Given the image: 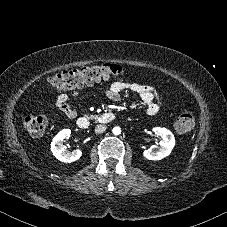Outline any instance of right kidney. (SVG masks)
<instances>
[{"label":"right kidney","mask_w":227,"mask_h":227,"mask_svg":"<svg viewBox=\"0 0 227 227\" xmlns=\"http://www.w3.org/2000/svg\"><path fill=\"white\" fill-rule=\"evenodd\" d=\"M71 135L70 129L61 130L51 142V152L59 160L65 163H71L78 160L82 156V151L77 149L72 152L66 150L64 139Z\"/></svg>","instance_id":"right-kidney-1"}]
</instances>
